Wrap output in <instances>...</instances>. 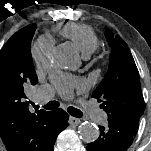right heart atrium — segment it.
<instances>
[{
    "instance_id": "d8ad5b80",
    "label": "right heart atrium",
    "mask_w": 151,
    "mask_h": 151,
    "mask_svg": "<svg viewBox=\"0 0 151 151\" xmlns=\"http://www.w3.org/2000/svg\"><path fill=\"white\" fill-rule=\"evenodd\" d=\"M49 46L43 47L40 43L32 48V56L37 64H42L48 57Z\"/></svg>"
}]
</instances>
